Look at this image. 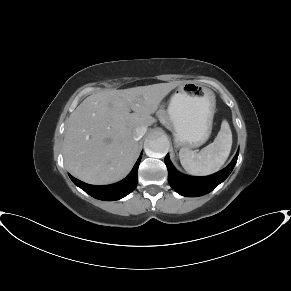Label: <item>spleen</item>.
Listing matches in <instances>:
<instances>
[{
	"label": "spleen",
	"mask_w": 291,
	"mask_h": 291,
	"mask_svg": "<svg viewBox=\"0 0 291 291\" xmlns=\"http://www.w3.org/2000/svg\"><path fill=\"white\" fill-rule=\"evenodd\" d=\"M232 147V132L229 123L222 121L215 140L200 152L181 148L179 159L182 167L195 176H206L220 170L226 162Z\"/></svg>",
	"instance_id": "1"
}]
</instances>
